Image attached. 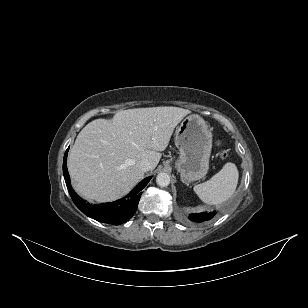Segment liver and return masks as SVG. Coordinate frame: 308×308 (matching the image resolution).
Instances as JSON below:
<instances>
[{
  "instance_id": "liver-1",
  "label": "liver",
  "mask_w": 308,
  "mask_h": 308,
  "mask_svg": "<svg viewBox=\"0 0 308 308\" xmlns=\"http://www.w3.org/2000/svg\"><path fill=\"white\" fill-rule=\"evenodd\" d=\"M191 111L150 107L118 111L113 119H96L78 134L68 155L75 191L89 201L111 202L129 192L144 176L142 159L153 170L175 127Z\"/></svg>"
}]
</instances>
